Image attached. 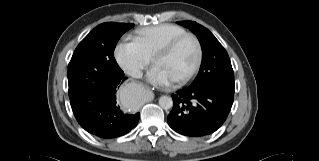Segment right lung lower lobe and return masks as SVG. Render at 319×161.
<instances>
[{"label": "right lung lower lobe", "mask_w": 319, "mask_h": 161, "mask_svg": "<svg viewBox=\"0 0 319 161\" xmlns=\"http://www.w3.org/2000/svg\"><path fill=\"white\" fill-rule=\"evenodd\" d=\"M125 79L120 69L70 98L76 120L87 132L109 139L124 135L137 125L140 113H124L116 101V90Z\"/></svg>", "instance_id": "obj_1"}]
</instances>
